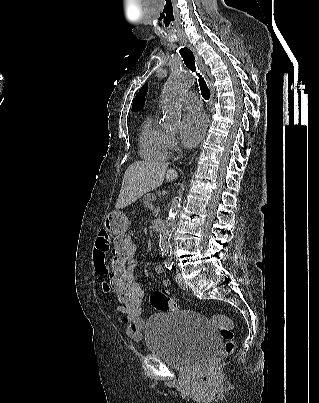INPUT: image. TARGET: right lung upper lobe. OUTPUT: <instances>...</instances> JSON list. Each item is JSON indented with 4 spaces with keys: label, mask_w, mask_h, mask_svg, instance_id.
I'll return each mask as SVG.
<instances>
[{
    "label": "right lung upper lobe",
    "mask_w": 319,
    "mask_h": 403,
    "mask_svg": "<svg viewBox=\"0 0 319 403\" xmlns=\"http://www.w3.org/2000/svg\"><path fill=\"white\" fill-rule=\"evenodd\" d=\"M148 90V83L144 84L142 88L139 90L138 94L135 97V100L132 104V111H139L143 108L145 104V95Z\"/></svg>",
    "instance_id": "right-lung-upper-lobe-1"
}]
</instances>
